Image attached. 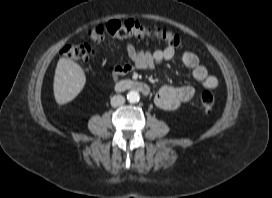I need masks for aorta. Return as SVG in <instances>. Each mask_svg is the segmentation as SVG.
<instances>
[{
    "label": "aorta",
    "instance_id": "obj_1",
    "mask_svg": "<svg viewBox=\"0 0 272 198\" xmlns=\"http://www.w3.org/2000/svg\"><path fill=\"white\" fill-rule=\"evenodd\" d=\"M127 99L130 103H136L140 99V95L137 91L131 90L127 94Z\"/></svg>",
    "mask_w": 272,
    "mask_h": 198
}]
</instances>
